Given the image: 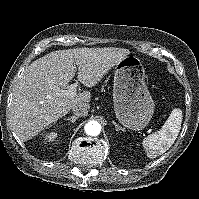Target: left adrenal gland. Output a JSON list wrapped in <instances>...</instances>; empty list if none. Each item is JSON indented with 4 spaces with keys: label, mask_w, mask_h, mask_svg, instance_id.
<instances>
[{
    "label": "left adrenal gland",
    "mask_w": 199,
    "mask_h": 199,
    "mask_svg": "<svg viewBox=\"0 0 199 199\" xmlns=\"http://www.w3.org/2000/svg\"><path fill=\"white\" fill-rule=\"evenodd\" d=\"M112 123L114 124L116 131L123 130L114 120H112Z\"/></svg>",
    "instance_id": "left-adrenal-gland-1"
}]
</instances>
